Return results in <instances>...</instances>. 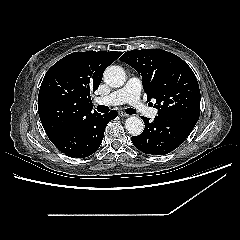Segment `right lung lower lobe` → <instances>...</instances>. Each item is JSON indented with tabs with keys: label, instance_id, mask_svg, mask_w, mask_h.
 <instances>
[{
	"label": "right lung lower lobe",
	"instance_id": "right-lung-lower-lobe-1",
	"mask_svg": "<svg viewBox=\"0 0 240 240\" xmlns=\"http://www.w3.org/2000/svg\"><path fill=\"white\" fill-rule=\"evenodd\" d=\"M117 117L115 110L108 114L95 115L86 123L51 142L69 157H88L100 147L105 127L109 121Z\"/></svg>",
	"mask_w": 240,
	"mask_h": 240
}]
</instances>
